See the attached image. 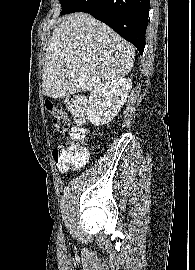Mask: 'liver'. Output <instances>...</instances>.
Returning a JSON list of instances; mask_svg holds the SVG:
<instances>
[{
  "instance_id": "1",
  "label": "liver",
  "mask_w": 195,
  "mask_h": 270,
  "mask_svg": "<svg viewBox=\"0 0 195 270\" xmlns=\"http://www.w3.org/2000/svg\"><path fill=\"white\" fill-rule=\"evenodd\" d=\"M133 46L86 13L62 17L46 48L43 94L65 98L126 76Z\"/></svg>"
}]
</instances>
